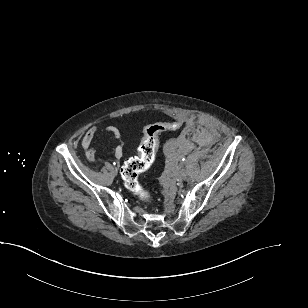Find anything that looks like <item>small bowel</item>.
<instances>
[{
	"mask_svg": "<svg viewBox=\"0 0 308 308\" xmlns=\"http://www.w3.org/2000/svg\"><path fill=\"white\" fill-rule=\"evenodd\" d=\"M192 119H189L187 121L188 124L192 123ZM107 132L111 133L113 136H118L119 131L114 126H108L105 129ZM99 130L97 127H91L84 135L82 141H81V147L84 151L85 157L89 162H93L95 160V149L92 146V143L97 136ZM113 154L116 157H120L122 155V149L121 147H116L113 151Z\"/></svg>",
	"mask_w": 308,
	"mask_h": 308,
	"instance_id": "1",
	"label": "small bowel"
}]
</instances>
